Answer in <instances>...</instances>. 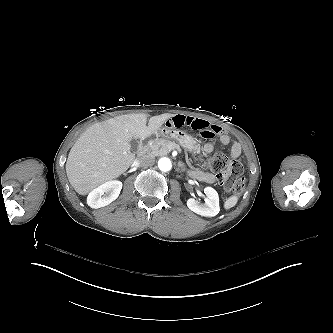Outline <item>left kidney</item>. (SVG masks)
I'll return each mask as SVG.
<instances>
[{
  "label": "left kidney",
  "instance_id": "1",
  "mask_svg": "<svg viewBox=\"0 0 333 333\" xmlns=\"http://www.w3.org/2000/svg\"><path fill=\"white\" fill-rule=\"evenodd\" d=\"M204 193L207 196L204 204H199L195 199L190 198L187 200L188 208L202 216H216L220 211L217 191L212 187H206L204 188Z\"/></svg>",
  "mask_w": 333,
  "mask_h": 333
}]
</instances>
